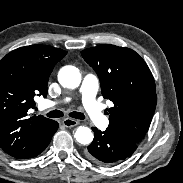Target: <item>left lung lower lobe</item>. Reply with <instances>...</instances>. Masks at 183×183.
Instances as JSON below:
<instances>
[{"instance_id":"0a47b994","label":"left lung lower lobe","mask_w":183,"mask_h":183,"mask_svg":"<svg viewBox=\"0 0 183 183\" xmlns=\"http://www.w3.org/2000/svg\"><path fill=\"white\" fill-rule=\"evenodd\" d=\"M92 130L94 140L88 146L85 154L95 163L112 165L126 159L137 149V142L115 131L106 129L102 132L94 127Z\"/></svg>"}]
</instances>
